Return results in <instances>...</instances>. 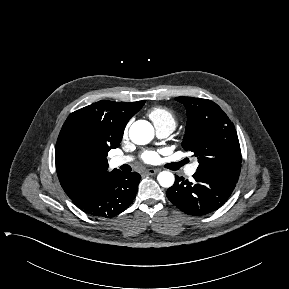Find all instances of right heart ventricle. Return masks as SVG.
Instances as JSON below:
<instances>
[{"label":"right heart ventricle","mask_w":289,"mask_h":289,"mask_svg":"<svg viewBox=\"0 0 289 289\" xmlns=\"http://www.w3.org/2000/svg\"><path fill=\"white\" fill-rule=\"evenodd\" d=\"M147 116L153 122L156 129L168 127L174 130L177 124L175 113L167 107L155 106L147 112Z\"/></svg>","instance_id":"right-heart-ventricle-1"}]
</instances>
